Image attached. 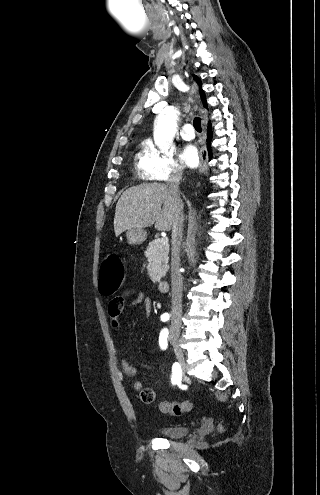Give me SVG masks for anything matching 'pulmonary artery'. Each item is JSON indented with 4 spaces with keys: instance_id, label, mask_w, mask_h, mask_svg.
Here are the masks:
<instances>
[{
    "instance_id": "obj_1",
    "label": "pulmonary artery",
    "mask_w": 320,
    "mask_h": 495,
    "mask_svg": "<svg viewBox=\"0 0 320 495\" xmlns=\"http://www.w3.org/2000/svg\"><path fill=\"white\" fill-rule=\"evenodd\" d=\"M180 135L185 140H191L195 137L193 126L189 123H186L182 126Z\"/></svg>"
}]
</instances>
